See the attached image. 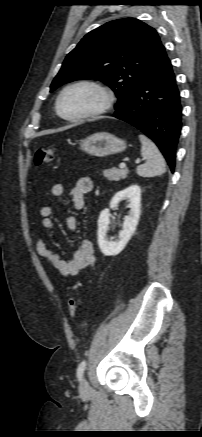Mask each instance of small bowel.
I'll return each instance as SVG.
<instances>
[{
    "mask_svg": "<svg viewBox=\"0 0 202 437\" xmlns=\"http://www.w3.org/2000/svg\"><path fill=\"white\" fill-rule=\"evenodd\" d=\"M93 190V182L89 177H80L69 188L62 183L54 184L50 193L54 197H61L67 192L69 202L72 208L80 211L85 207V195ZM53 208L44 206L40 209L42 217L41 226L44 230L50 231L54 228ZM66 225L70 232H74L77 228V220L70 215L66 219ZM37 253L43 257L56 271L62 276L70 277L77 275L81 270L93 266L95 262V250L93 242L87 238H83L77 249L72 253V257L68 260L63 259L58 253L49 248L45 242L38 238L35 242Z\"/></svg>",
    "mask_w": 202,
    "mask_h": 437,
    "instance_id": "small-bowel-1",
    "label": "small bowel"
}]
</instances>
